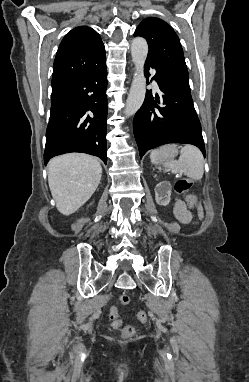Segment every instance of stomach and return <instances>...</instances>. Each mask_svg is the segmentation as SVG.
Masks as SVG:
<instances>
[{
  "label": "stomach",
  "instance_id": "1",
  "mask_svg": "<svg viewBox=\"0 0 249 382\" xmlns=\"http://www.w3.org/2000/svg\"><path fill=\"white\" fill-rule=\"evenodd\" d=\"M162 153L158 156L157 162L165 165L167 162L173 160L178 154V147L176 145H167L162 147Z\"/></svg>",
  "mask_w": 249,
  "mask_h": 382
}]
</instances>
